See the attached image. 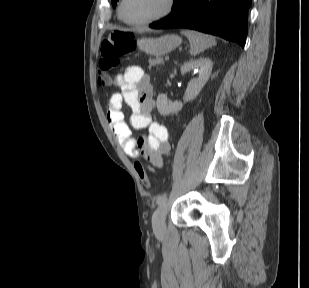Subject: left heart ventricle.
<instances>
[{"instance_id":"obj_1","label":"left heart ventricle","mask_w":309,"mask_h":288,"mask_svg":"<svg viewBox=\"0 0 309 288\" xmlns=\"http://www.w3.org/2000/svg\"><path fill=\"white\" fill-rule=\"evenodd\" d=\"M165 8V0H126L124 17L129 21H142L159 14Z\"/></svg>"}]
</instances>
